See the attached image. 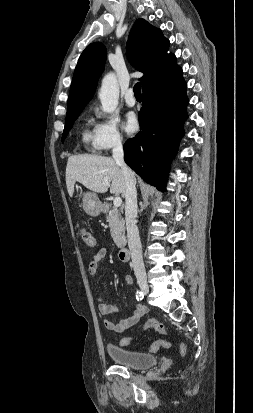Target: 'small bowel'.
Segmentation results:
<instances>
[{"label":"small bowel","mask_w":253,"mask_h":413,"mask_svg":"<svg viewBox=\"0 0 253 413\" xmlns=\"http://www.w3.org/2000/svg\"><path fill=\"white\" fill-rule=\"evenodd\" d=\"M106 256H107L106 248H101L97 251L92 261L88 265V273L90 275H95L98 272L100 265L105 260ZM125 282L127 284H131L132 278L130 276H126ZM98 301H99L98 309L102 315H110L117 311V306L115 304L108 303L104 301L101 297L98 298ZM146 312H147V308L143 305H139L136 307L133 314L127 319H124L121 321L105 319L104 326L108 330L122 333L128 330L129 328H131L132 326H134Z\"/></svg>","instance_id":"obj_1"}]
</instances>
